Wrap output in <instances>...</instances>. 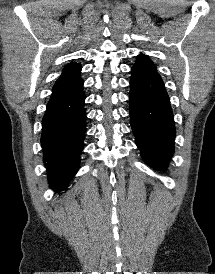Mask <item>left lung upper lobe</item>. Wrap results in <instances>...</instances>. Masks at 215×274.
<instances>
[{"mask_svg": "<svg viewBox=\"0 0 215 274\" xmlns=\"http://www.w3.org/2000/svg\"><path fill=\"white\" fill-rule=\"evenodd\" d=\"M134 66L149 69V70H153V71H156V69H157L155 64L149 59V57L147 55H144V54L138 55Z\"/></svg>", "mask_w": 215, "mask_h": 274, "instance_id": "left-lung-upper-lobe-1", "label": "left lung upper lobe"}]
</instances>
